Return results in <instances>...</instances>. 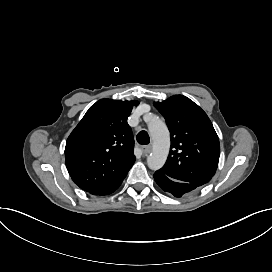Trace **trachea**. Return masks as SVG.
Masks as SVG:
<instances>
[{"mask_svg":"<svg viewBox=\"0 0 272 272\" xmlns=\"http://www.w3.org/2000/svg\"><path fill=\"white\" fill-rule=\"evenodd\" d=\"M136 138H137V142L142 145L149 144V142H150V137L146 131H140L137 134Z\"/></svg>","mask_w":272,"mask_h":272,"instance_id":"1","label":"trachea"}]
</instances>
